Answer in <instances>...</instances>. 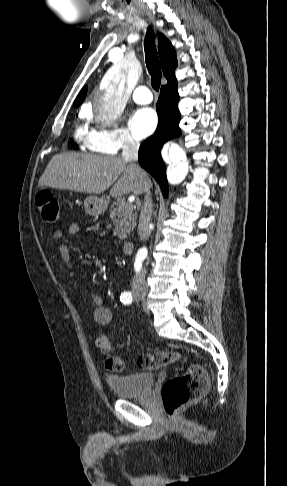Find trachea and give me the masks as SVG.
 <instances>
[{
	"label": "trachea",
	"mask_w": 287,
	"mask_h": 486,
	"mask_svg": "<svg viewBox=\"0 0 287 486\" xmlns=\"http://www.w3.org/2000/svg\"><path fill=\"white\" fill-rule=\"evenodd\" d=\"M145 58L148 72L151 75V85L154 90L158 91L161 84V67L160 61L155 45V34L153 30L149 27L147 29L145 41Z\"/></svg>",
	"instance_id": "obj_1"
}]
</instances>
